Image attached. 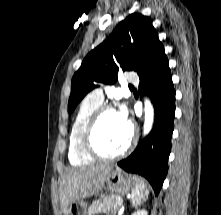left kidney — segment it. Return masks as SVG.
<instances>
[{
	"mask_svg": "<svg viewBox=\"0 0 221 215\" xmlns=\"http://www.w3.org/2000/svg\"><path fill=\"white\" fill-rule=\"evenodd\" d=\"M132 215H148V212L146 210L142 209V210H137Z\"/></svg>",
	"mask_w": 221,
	"mask_h": 215,
	"instance_id": "left-kidney-1",
	"label": "left kidney"
}]
</instances>
